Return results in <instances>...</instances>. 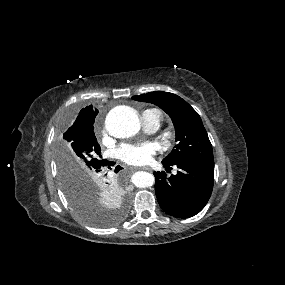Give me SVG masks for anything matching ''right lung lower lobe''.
I'll use <instances>...</instances> for the list:
<instances>
[{
    "label": "right lung lower lobe",
    "instance_id": "1",
    "mask_svg": "<svg viewBox=\"0 0 285 285\" xmlns=\"http://www.w3.org/2000/svg\"><path fill=\"white\" fill-rule=\"evenodd\" d=\"M114 162H110V161H107V160H103V167L104 166H108V168H110V166L113 165ZM121 169L120 166H117L116 169H115V172H118L119 170Z\"/></svg>",
    "mask_w": 285,
    "mask_h": 285
}]
</instances>
